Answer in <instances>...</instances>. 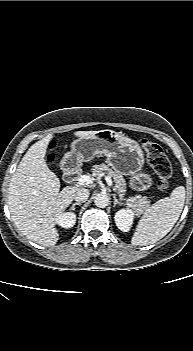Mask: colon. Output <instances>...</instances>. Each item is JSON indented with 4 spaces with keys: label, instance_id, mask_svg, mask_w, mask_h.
Masks as SVG:
<instances>
[{
    "label": "colon",
    "instance_id": "5ec220e1",
    "mask_svg": "<svg viewBox=\"0 0 193 351\" xmlns=\"http://www.w3.org/2000/svg\"><path fill=\"white\" fill-rule=\"evenodd\" d=\"M142 146L146 152L147 161L149 165L156 172L159 180L158 187L160 190L165 191L168 189L170 184V178L172 175V166L164 153L163 149L156 143L149 140H143ZM51 159H54V155L51 154Z\"/></svg>",
    "mask_w": 193,
    "mask_h": 351
}]
</instances>
